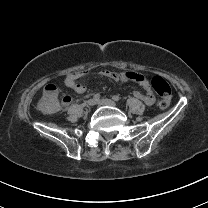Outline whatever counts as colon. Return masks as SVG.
I'll list each match as a JSON object with an SVG mask.
<instances>
[{"label":"colon","instance_id":"obj_1","mask_svg":"<svg viewBox=\"0 0 208 208\" xmlns=\"http://www.w3.org/2000/svg\"><path fill=\"white\" fill-rule=\"evenodd\" d=\"M151 85L159 96L158 107L160 109H167L172 100V91L168 82L161 76H155L151 80ZM59 93L60 92L57 86L52 84L46 85L42 89V94L45 97L38 102L39 109L49 115L55 113L58 107L55 99L58 98Z\"/></svg>","mask_w":208,"mask_h":208}]
</instances>
